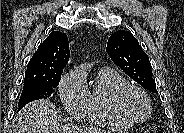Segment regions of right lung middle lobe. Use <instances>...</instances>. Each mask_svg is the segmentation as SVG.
Returning a JSON list of instances; mask_svg holds the SVG:
<instances>
[{
  "instance_id": "obj_1",
  "label": "right lung middle lobe",
  "mask_w": 184,
  "mask_h": 133,
  "mask_svg": "<svg viewBox=\"0 0 184 133\" xmlns=\"http://www.w3.org/2000/svg\"><path fill=\"white\" fill-rule=\"evenodd\" d=\"M60 80L61 77L58 76L48 81L24 82V87L18 103V111L29 102L50 97Z\"/></svg>"
}]
</instances>
